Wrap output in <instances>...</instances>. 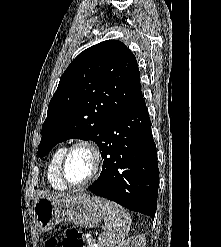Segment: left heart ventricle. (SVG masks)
<instances>
[{
	"label": "left heart ventricle",
	"instance_id": "1",
	"mask_svg": "<svg viewBox=\"0 0 221 247\" xmlns=\"http://www.w3.org/2000/svg\"><path fill=\"white\" fill-rule=\"evenodd\" d=\"M92 154L83 148L71 153L66 164V176L72 183L84 181L92 172Z\"/></svg>",
	"mask_w": 221,
	"mask_h": 247
}]
</instances>
